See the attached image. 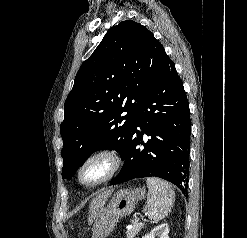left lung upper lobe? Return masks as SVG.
<instances>
[{
    "mask_svg": "<svg viewBox=\"0 0 247 238\" xmlns=\"http://www.w3.org/2000/svg\"><path fill=\"white\" fill-rule=\"evenodd\" d=\"M167 57L153 34L135 21L107 32L80 67L64 104L62 178L70 179L97 150L115 149L123 156L137 113Z\"/></svg>",
    "mask_w": 247,
    "mask_h": 238,
    "instance_id": "5c2ea615",
    "label": "left lung upper lobe"
}]
</instances>
